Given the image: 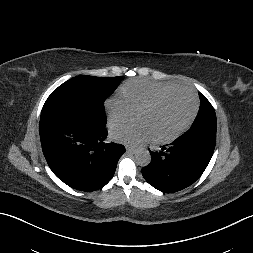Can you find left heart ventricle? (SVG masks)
Wrapping results in <instances>:
<instances>
[{
    "label": "left heart ventricle",
    "instance_id": "1",
    "mask_svg": "<svg viewBox=\"0 0 253 253\" xmlns=\"http://www.w3.org/2000/svg\"><path fill=\"white\" fill-rule=\"evenodd\" d=\"M192 111V98L177 92L164 97L152 109L139 111L137 119L149 125L154 137L166 136L185 124Z\"/></svg>",
    "mask_w": 253,
    "mask_h": 253
}]
</instances>
